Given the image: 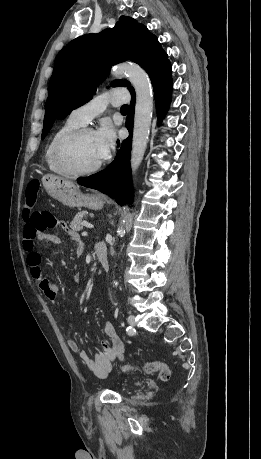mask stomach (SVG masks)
<instances>
[{"instance_id":"1","label":"stomach","mask_w":261,"mask_h":459,"mask_svg":"<svg viewBox=\"0 0 261 459\" xmlns=\"http://www.w3.org/2000/svg\"><path fill=\"white\" fill-rule=\"evenodd\" d=\"M43 186L48 194L71 208L87 207L101 209L106 200L99 194H83L79 187L64 178L46 174L42 178Z\"/></svg>"}]
</instances>
